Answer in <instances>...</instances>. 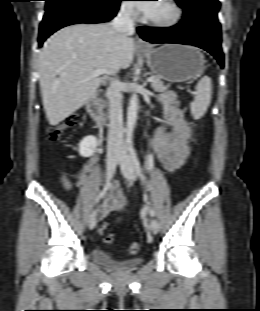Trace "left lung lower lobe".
<instances>
[{
  "instance_id": "obj_1",
  "label": "left lung lower lobe",
  "mask_w": 260,
  "mask_h": 311,
  "mask_svg": "<svg viewBox=\"0 0 260 311\" xmlns=\"http://www.w3.org/2000/svg\"><path fill=\"white\" fill-rule=\"evenodd\" d=\"M140 36L151 43H179L200 47L211 53L224 67L221 28L203 19H183L171 28L139 27Z\"/></svg>"
}]
</instances>
